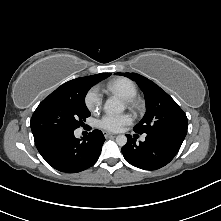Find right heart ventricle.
<instances>
[{"instance_id": "e07e8e85", "label": "right heart ventricle", "mask_w": 221, "mask_h": 221, "mask_svg": "<svg viewBox=\"0 0 221 221\" xmlns=\"http://www.w3.org/2000/svg\"><path fill=\"white\" fill-rule=\"evenodd\" d=\"M107 90L115 93L125 100L133 99L138 93L136 84L125 77H118L109 81L106 85Z\"/></svg>"}]
</instances>
